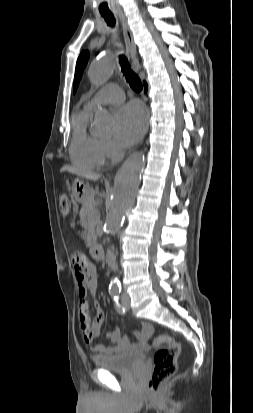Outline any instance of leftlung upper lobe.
Wrapping results in <instances>:
<instances>
[{"label": "left lung upper lobe", "instance_id": "1", "mask_svg": "<svg viewBox=\"0 0 253 413\" xmlns=\"http://www.w3.org/2000/svg\"><path fill=\"white\" fill-rule=\"evenodd\" d=\"M89 59V52L88 51H83L78 60H77V64H76V70H75V77H74V92L76 91L79 81L81 79L82 76V72L83 69L85 68L87 62Z\"/></svg>", "mask_w": 253, "mask_h": 413}]
</instances>
